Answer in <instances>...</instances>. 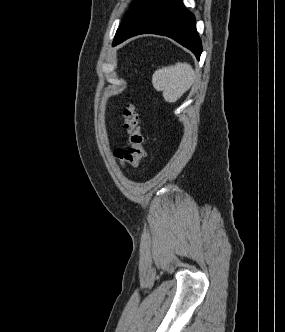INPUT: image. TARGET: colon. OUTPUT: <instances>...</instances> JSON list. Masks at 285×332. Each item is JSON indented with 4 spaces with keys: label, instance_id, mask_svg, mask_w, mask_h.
<instances>
[{
    "label": "colon",
    "instance_id": "colon-1",
    "mask_svg": "<svg viewBox=\"0 0 285 332\" xmlns=\"http://www.w3.org/2000/svg\"><path fill=\"white\" fill-rule=\"evenodd\" d=\"M121 119L127 132L126 145L115 149L114 156L122 166L137 167L145 156V149L136 106L127 103L121 112Z\"/></svg>",
    "mask_w": 285,
    "mask_h": 332
}]
</instances>
